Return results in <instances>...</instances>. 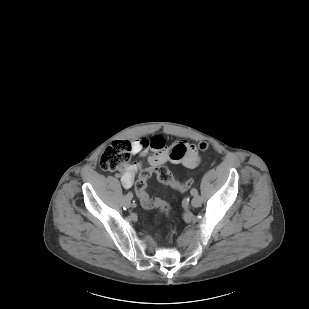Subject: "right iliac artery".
<instances>
[{
	"mask_svg": "<svg viewBox=\"0 0 309 309\" xmlns=\"http://www.w3.org/2000/svg\"><path fill=\"white\" fill-rule=\"evenodd\" d=\"M132 198V193L131 192H128L127 194H126V199H131Z\"/></svg>",
	"mask_w": 309,
	"mask_h": 309,
	"instance_id": "right-iliac-artery-1",
	"label": "right iliac artery"
}]
</instances>
